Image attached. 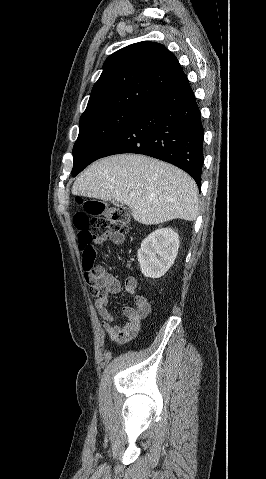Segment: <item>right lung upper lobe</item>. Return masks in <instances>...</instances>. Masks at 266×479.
Segmentation results:
<instances>
[{"mask_svg":"<svg viewBox=\"0 0 266 479\" xmlns=\"http://www.w3.org/2000/svg\"><path fill=\"white\" fill-rule=\"evenodd\" d=\"M187 81L177 58L162 44L129 45L106 59L81 118L115 109H143Z\"/></svg>","mask_w":266,"mask_h":479,"instance_id":"obj_1","label":"right lung upper lobe"}]
</instances>
